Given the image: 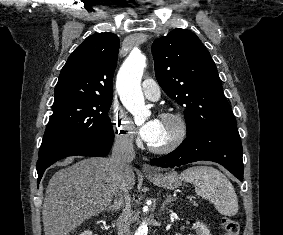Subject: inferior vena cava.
I'll use <instances>...</instances> for the list:
<instances>
[{
    "instance_id": "602c4592",
    "label": "inferior vena cava",
    "mask_w": 283,
    "mask_h": 235,
    "mask_svg": "<svg viewBox=\"0 0 283 235\" xmlns=\"http://www.w3.org/2000/svg\"><path fill=\"white\" fill-rule=\"evenodd\" d=\"M135 158L133 138L124 134L117 136L110 157V162L115 171V190L116 197L119 196L123 211L117 219L118 235H128L132 220L130 197L126 186V176L131 172V162Z\"/></svg>"
}]
</instances>
